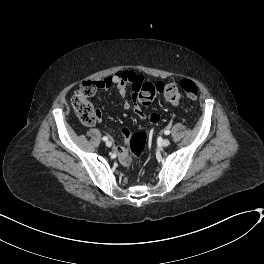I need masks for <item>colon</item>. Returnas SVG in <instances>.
<instances>
[{
  "instance_id": "5ec220e1",
  "label": "colon",
  "mask_w": 264,
  "mask_h": 264,
  "mask_svg": "<svg viewBox=\"0 0 264 264\" xmlns=\"http://www.w3.org/2000/svg\"><path fill=\"white\" fill-rule=\"evenodd\" d=\"M97 84L94 82H83L79 84L73 92L71 99L74 111L84 126H94L100 113L90 102V97L94 94ZM186 98L194 100L199 94L196 82L189 78L182 79L180 87L175 83L162 84L160 82L144 81L137 93V102L141 105H150L156 97L163 94L166 99L178 102L182 97V92ZM146 137L142 133H135L130 140V161L137 162L144 151Z\"/></svg>"
}]
</instances>
